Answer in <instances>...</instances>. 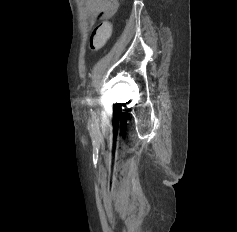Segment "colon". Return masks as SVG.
<instances>
[{
  "instance_id": "colon-1",
  "label": "colon",
  "mask_w": 237,
  "mask_h": 232,
  "mask_svg": "<svg viewBox=\"0 0 237 232\" xmlns=\"http://www.w3.org/2000/svg\"><path fill=\"white\" fill-rule=\"evenodd\" d=\"M112 34V26L110 22L103 21L98 24L92 31L89 39V47L92 52H96L103 48Z\"/></svg>"
}]
</instances>
